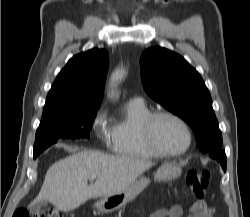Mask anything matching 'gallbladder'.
<instances>
[{"mask_svg":"<svg viewBox=\"0 0 250 217\" xmlns=\"http://www.w3.org/2000/svg\"><path fill=\"white\" fill-rule=\"evenodd\" d=\"M46 204H47V203H46L45 201H44V202L37 203V204L31 206L30 211H31L32 213H37V212H39V210H40L43 206H45Z\"/></svg>","mask_w":250,"mask_h":217,"instance_id":"obj_1","label":"gallbladder"}]
</instances>
